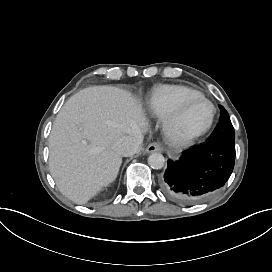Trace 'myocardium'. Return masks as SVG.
<instances>
[{"label":"myocardium","instance_id":"f54148a6","mask_svg":"<svg viewBox=\"0 0 272 272\" xmlns=\"http://www.w3.org/2000/svg\"><path fill=\"white\" fill-rule=\"evenodd\" d=\"M195 99H203L210 105V108H211L210 119H209L208 123L205 126H203L202 128L195 129V130H181L177 124V118H174V120H172V124H171L170 128H168V130L170 131L171 135L176 140H182V139H188V138H194V137L200 136V135L204 134L205 132L209 131L215 121L216 113H217L216 106L212 102V100H210L208 97H206L205 95H203L201 93L194 95V96L184 98L176 106L174 111H177L178 113H182L184 108L189 103L194 101Z\"/></svg>","mask_w":272,"mask_h":272}]
</instances>
